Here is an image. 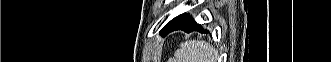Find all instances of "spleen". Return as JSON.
Wrapping results in <instances>:
<instances>
[{"label": "spleen", "mask_w": 331, "mask_h": 62, "mask_svg": "<svg viewBox=\"0 0 331 62\" xmlns=\"http://www.w3.org/2000/svg\"><path fill=\"white\" fill-rule=\"evenodd\" d=\"M214 55L210 45L203 41L182 43L175 53L178 62H208Z\"/></svg>", "instance_id": "obj_1"}]
</instances>
